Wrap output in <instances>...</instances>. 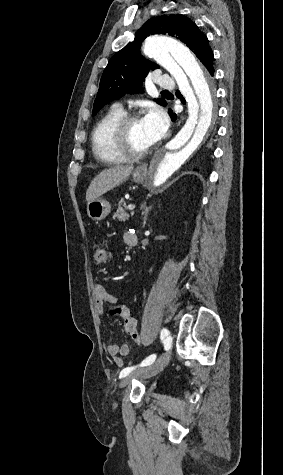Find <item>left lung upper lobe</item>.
<instances>
[{
	"mask_svg": "<svg viewBox=\"0 0 283 475\" xmlns=\"http://www.w3.org/2000/svg\"><path fill=\"white\" fill-rule=\"evenodd\" d=\"M152 34H168L180 39L196 54L203 63L209 56L211 48L207 37L189 18L178 15H162L149 19L139 30L133 42L117 52L103 71L100 88L93 106V115L112 100L125 93L143 92V81L149 70L159 66L145 59L140 54L143 40ZM155 101L166 106L164 99Z\"/></svg>",
	"mask_w": 283,
	"mask_h": 475,
	"instance_id": "5c2ea615",
	"label": "left lung upper lobe"
}]
</instances>
